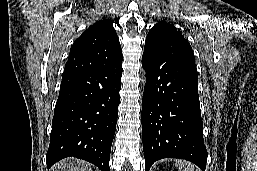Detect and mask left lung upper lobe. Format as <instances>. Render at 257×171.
<instances>
[{"label":"left lung upper lobe","mask_w":257,"mask_h":171,"mask_svg":"<svg viewBox=\"0 0 257 171\" xmlns=\"http://www.w3.org/2000/svg\"><path fill=\"white\" fill-rule=\"evenodd\" d=\"M144 51L151 55L169 53L196 66L189 42L181 32L169 23L160 22L150 29L145 41Z\"/></svg>","instance_id":"5c2ea615"}]
</instances>
